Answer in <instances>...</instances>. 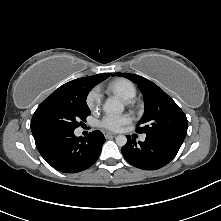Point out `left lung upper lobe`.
<instances>
[{
  "instance_id": "obj_1",
  "label": "left lung upper lobe",
  "mask_w": 221,
  "mask_h": 221,
  "mask_svg": "<svg viewBox=\"0 0 221 221\" xmlns=\"http://www.w3.org/2000/svg\"><path fill=\"white\" fill-rule=\"evenodd\" d=\"M135 82L145 100V112L136 131L147 136L166 135L185 138L188 122L186 115L162 89L148 79L136 74L115 73Z\"/></svg>"
}]
</instances>
